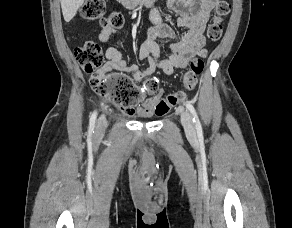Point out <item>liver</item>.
<instances>
[{
  "label": "liver",
  "mask_w": 292,
  "mask_h": 228,
  "mask_svg": "<svg viewBox=\"0 0 292 228\" xmlns=\"http://www.w3.org/2000/svg\"><path fill=\"white\" fill-rule=\"evenodd\" d=\"M85 0H60L64 20L70 22Z\"/></svg>",
  "instance_id": "6515ba94"
}]
</instances>
